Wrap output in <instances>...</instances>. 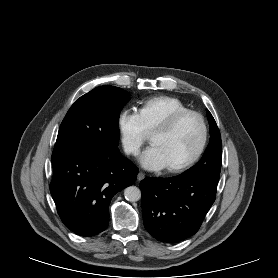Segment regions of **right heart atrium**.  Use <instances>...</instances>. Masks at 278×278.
I'll use <instances>...</instances> for the list:
<instances>
[{"label": "right heart atrium", "instance_id": "1", "mask_svg": "<svg viewBox=\"0 0 278 278\" xmlns=\"http://www.w3.org/2000/svg\"><path fill=\"white\" fill-rule=\"evenodd\" d=\"M117 127L124 151L129 155L137 154L148 134L138 112L122 110L117 118Z\"/></svg>", "mask_w": 278, "mask_h": 278}]
</instances>
